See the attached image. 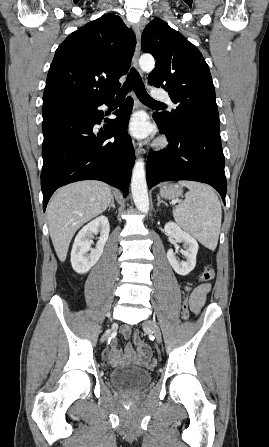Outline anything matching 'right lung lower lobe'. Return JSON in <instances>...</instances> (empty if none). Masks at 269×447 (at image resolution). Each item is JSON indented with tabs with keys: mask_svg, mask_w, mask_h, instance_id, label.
<instances>
[{
	"mask_svg": "<svg viewBox=\"0 0 269 447\" xmlns=\"http://www.w3.org/2000/svg\"><path fill=\"white\" fill-rule=\"evenodd\" d=\"M114 93L43 105L41 188L44 211L57 188L80 180L104 181L127 196L135 160L126 131L132 99L125 100L114 113L117 118L108 120L104 129L94 128L104 117L98 107L110 106Z\"/></svg>",
	"mask_w": 269,
	"mask_h": 447,
	"instance_id": "right-lung-lower-lobe-1",
	"label": "right lung lower lobe"
}]
</instances>
